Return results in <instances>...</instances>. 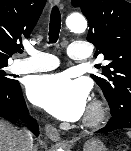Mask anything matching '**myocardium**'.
Listing matches in <instances>:
<instances>
[{
	"label": "myocardium",
	"mask_w": 131,
	"mask_h": 151,
	"mask_svg": "<svg viewBox=\"0 0 131 151\" xmlns=\"http://www.w3.org/2000/svg\"><path fill=\"white\" fill-rule=\"evenodd\" d=\"M106 115L105 104L101 100L93 99L88 106L83 124L87 127H97L105 121Z\"/></svg>",
	"instance_id": "f54148a6"
}]
</instances>
